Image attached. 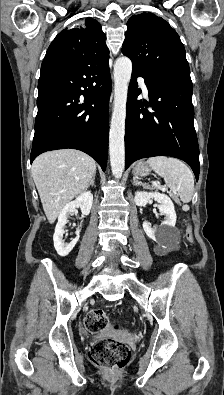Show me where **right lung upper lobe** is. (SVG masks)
<instances>
[{"label":"right lung upper lobe","mask_w":224,"mask_h":395,"mask_svg":"<svg viewBox=\"0 0 224 395\" xmlns=\"http://www.w3.org/2000/svg\"><path fill=\"white\" fill-rule=\"evenodd\" d=\"M101 25L92 18L77 28L62 30L50 44L44 59L55 58L81 67L108 62L109 49Z\"/></svg>","instance_id":"cb5924a9"}]
</instances>
